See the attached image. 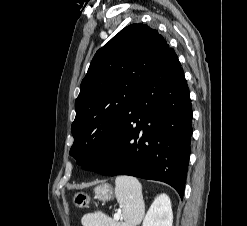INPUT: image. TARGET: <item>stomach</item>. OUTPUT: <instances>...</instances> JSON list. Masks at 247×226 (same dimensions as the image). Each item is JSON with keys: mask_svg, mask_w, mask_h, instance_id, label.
Wrapping results in <instances>:
<instances>
[{"mask_svg": "<svg viewBox=\"0 0 247 226\" xmlns=\"http://www.w3.org/2000/svg\"><path fill=\"white\" fill-rule=\"evenodd\" d=\"M95 197L102 201H107L112 198L113 192L108 184H101L94 189ZM73 203L78 208L89 207L90 197L84 192H77L73 196Z\"/></svg>", "mask_w": 247, "mask_h": 226, "instance_id": "1", "label": "stomach"}]
</instances>
